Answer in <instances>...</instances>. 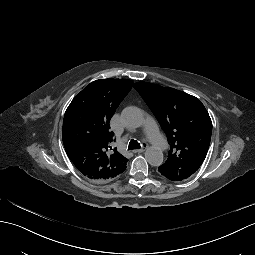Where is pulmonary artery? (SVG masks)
Returning <instances> with one entry per match:
<instances>
[{"label":"pulmonary artery","mask_w":255,"mask_h":255,"mask_svg":"<svg viewBox=\"0 0 255 255\" xmlns=\"http://www.w3.org/2000/svg\"><path fill=\"white\" fill-rule=\"evenodd\" d=\"M143 128H146V134L150 137V141L155 145L156 150L161 151L168 149L169 144L163 139L159 129L157 128V122L155 119H148L146 121V125H143Z\"/></svg>","instance_id":"1"}]
</instances>
